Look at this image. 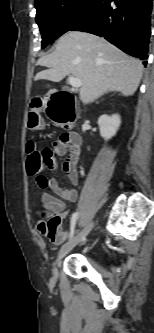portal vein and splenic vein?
Masks as SVG:
<instances>
[{
  "label": "portal vein and splenic vein",
  "mask_w": 154,
  "mask_h": 333,
  "mask_svg": "<svg viewBox=\"0 0 154 333\" xmlns=\"http://www.w3.org/2000/svg\"><path fill=\"white\" fill-rule=\"evenodd\" d=\"M68 82L74 88H79L82 85L81 80L78 79V78H76V77H74V76H69L68 77Z\"/></svg>",
  "instance_id": "obj_1"
}]
</instances>
